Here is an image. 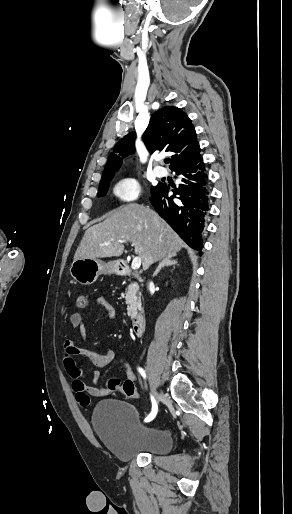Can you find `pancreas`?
<instances>
[{"instance_id": "obj_1", "label": "pancreas", "mask_w": 292, "mask_h": 514, "mask_svg": "<svg viewBox=\"0 0 292 514\" xmlns=\"http://www.w3.org/2000/svg\"><path fill=\"white\" fill-rule=\"evenodd\" d=\"M126 304L127 306V314L130 318H135L137 316V308L140 306V294L138 290V286H128L126 290Z\"/></svg>"}]
</instances>
